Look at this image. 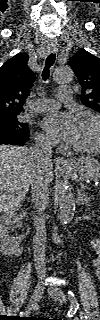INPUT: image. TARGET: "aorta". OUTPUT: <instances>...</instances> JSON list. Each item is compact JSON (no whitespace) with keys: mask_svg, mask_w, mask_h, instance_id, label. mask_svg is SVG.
Instances as JSON below:
<instances>
[{"mask_svg":"<svg viewBox=\"0 0 100 320\" xmlns=\"http://www.w3.org/2000/svg\"><path fill=\"white\" fill-rule=\"evenodd\" d=\"M73 72L69 67H59L54 72V81L56 83L70 82ZM57 198L60 208V221L63 224L69 223L75 213V199L72 192L66 184H61L57 190Z\"/></svg>","mask_w":100,"mask_h":320,"instance_id":"obj_1","label":"aorta"}]
</instances>
